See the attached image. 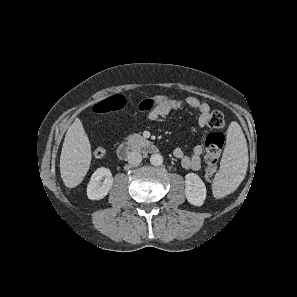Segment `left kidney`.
Returning a JSON list of instances; mask_svg holds the SVG:
<instances>
[{
  "label": "left kidney",
  "instance_id": "left-kidney-1",
  "mask_svg": "<svg viewBox=\"0 0 297 297\" xmlns=\"http://www.w3.org/2000/svg\"><path fill=\"white\" fill-rule=\"evenodd\" d=\"M185 195L188 202L194 206L203 205L206 198V186L202 179L195 173L185 176Z\"/></svg>",
  "mask_w": 297,
  "mask_h": 297
}]
</instances>
